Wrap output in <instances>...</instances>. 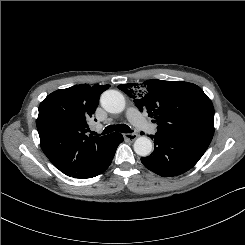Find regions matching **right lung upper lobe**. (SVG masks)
I'll return each instance as SVG.
<instances>
[{
  "label": "right lung upper lobe",
  "instance_id": "obj_1",
  "mask_svg": "<svg viewBox=\"0 0 245 245\" xmlns=\"http://www.w3.org/2000/svg\"><path fill=\"white\" fill-rule=\"evenodd\" d=\"M110 85H75L49 94L39 106L36 125L48 159L64 174L78 177L98 162L110 135L87 136L100 94Z\"/></svg>",
  "mask_w": 245,
  "mask_h": 245
}]
</instances>
